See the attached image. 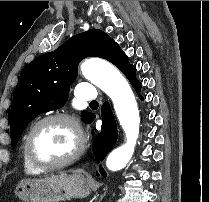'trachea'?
<instances>
[{
  "label": "trachea",
  "mask_w": 209,
  "mask_h": 202,
  "mask_svg": "<svg viewBox=\"0 0 209 202\" xmlns=\"http://www.w3.org/2000/svg\"><path fill=\"white\" fill-rule=\"evenodd\" d=\"M90 104H98L97 101H91Z\"/></svg>",
  "instance_id": "3493384b"
}]
</instances>
